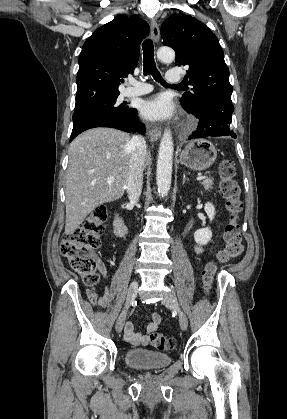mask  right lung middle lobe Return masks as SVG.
<instances>
[{
    "mask_svg": "<svg viewBox=\"0 0 287 419\" xmlns=\"http://www.w3.org/2000/svg\"><path fill=\"white\" fill-rule=\"evenodd\" d=\"M117 98L118 95L101 99L81 107H75L73 114V127L96 116H127L131 114L133 108L128 107L126 103L119 104L117 102Z\"/></svg>",
    "mask_w": 287,
    "mask_h": 419,
    "instance_id": "1",
    "label": "right lung middle lobe"
}]
</instances>
